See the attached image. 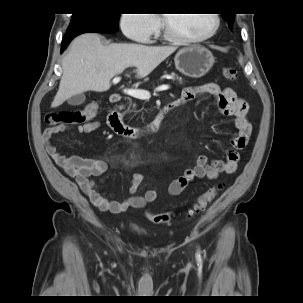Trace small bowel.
I'll list each match as a JSON object with an SVG mask.
<instances>
[{
  "instance_id": "small-bowel-1",
  "label": "small bowel",
  "mask_w": 303,
  "mask_h": 303,
  "mask_svg": "<svg viewBox=\"0 0 303 303\" xmlns=\"http://www.w3.org/2000/svg\"><path fill=\"white\" fill-rule=\"evenodd\" d=\"M204 96H212L218 102L219 111L222 115H235L234 126L237 129V133L230 140L232 148L226 151L225 159L213 160L209 163L203 155L195 157L193 166L170 182L168 192L172 196L181 194L194 179L207 178L215 180L221 173H234L241 158L239 150L247 146L252 133V125L246 116V104L231 88H221L215 83L185 87L176 102L180 106ZM101 126L102 124L99 121H91L76 127L61 124L46 128L42 133L45 149L52 160L67 175L75 177L82 191L100 210L121 213L128 209L144 208L148 203L157 199V193L154 190H148L144 196L135 195L143 182V176L140 173H134L130 177L129 192L131 195L124 201H113L104 197L91 179V177L99 176L106 172L108 167L106 161L84 158L78 155L65 157L52 144V136L67 129H75L78 133H89L99 129Z\"/></svg>"
}]
</instances>
